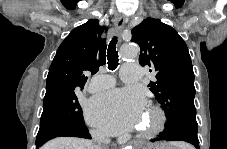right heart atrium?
I'll return each mask as SVG.
<instances>
[{
	"label": "right heart atrium",
	"mask_w": 227,
	"mask_h": 149,
	"mask_svg": "<svg viewBox=\"0 0 227 149\" xmlns=\"http://www.w3.org/2000/svg\"><path fill=\"white\" fill-rule=\"evenodd\" d=\"M92 135H93L95 138H98V139H102V138H103L102 133H100V132L97 131V130L92 131Z\"/></svg>",
	"instance_id": "d8ad5b80"
}]
</instances>
